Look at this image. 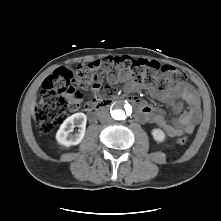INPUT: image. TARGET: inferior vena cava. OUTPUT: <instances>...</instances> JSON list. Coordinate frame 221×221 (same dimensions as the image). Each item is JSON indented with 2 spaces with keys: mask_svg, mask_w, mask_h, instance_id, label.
I'll return each instance as SVG.
<instances>
[{
  "mask_svg": "<svg viewBox=\"0 0 221 221\" xmlns=\"http://www.w3.org/2000/svg\"><path fill=\"white\" fill-rule=\"evenodd\" d=\"M99 120H100V122H102V123L110 122L111 117H110V115H109L108 112L102 111V112L99 114Z\"/></svg>",
  "mask_w": 221,
  "mask_h": 221,
  "instance_id": "obj_1",
  "label": "inferior vena cava"
}]
</instances>
